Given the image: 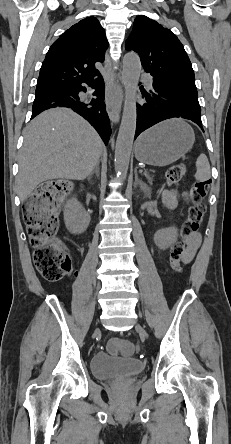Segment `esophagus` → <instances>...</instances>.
I'll list each match as a JSON object with an SVG mask.
<instances>
[{"label":"esophagus","mask_w":231,"mask_h":444,"mask_svg":"<svg viewBox=\"0 0 231 444\" xmlns=\"http://www.w3.org/2000/svg\"><path fill=\"white\" fill-rule=\"evenodd\" d=\"M107 61L110 62V58L107 56ZM123 100V89L119 80L110 79V86L106 91L105 103L108 116L112 123H118L120 119V112Z\"/></svg>","instance_id":"1"}]
</instances>
